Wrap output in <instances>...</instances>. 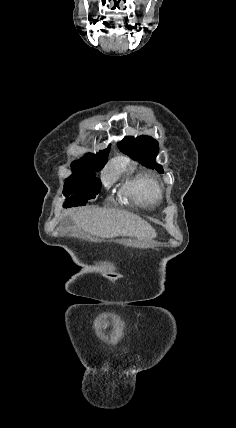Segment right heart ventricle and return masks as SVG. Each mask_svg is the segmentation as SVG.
Listing matches in <instances>:
<instances>
[{"label": "right heart ventricle", "instance_id": "right-heart-ventricle-1", "mask_svg": "<svg viewBox=\"0 0 236 428\" xmlns=\"http://www.w3.org/2000/svg\"><path fill=\"white\" fill-rule=\"evenodd\" d=\"M122 193L137 203L151 204L161 197L162 188L156 179L138 176L125 183Z\"/></svg>", "mask_w": 236, "mask_h": 428}]
</instances>
